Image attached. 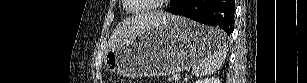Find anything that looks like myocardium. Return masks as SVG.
Returning a JSON list of instances; mask_svg holds the SVG:
<instances>
[{
    "label": "myocardium",
    "mask_w": 307,
    "mask_h": 83,
    "mask_svg": "<svg viewBox=\"0 0 307 83\" xmlns=\"http://www.w3.org/2000/svg\"><path fill=\"white\" fill-rule=\"evenodd\" d=\"M125 2H129V0H124ZM167 2V0H159L158 4H152V5H148L145 8L139 9V10H133L129 5L126 6V9L134 14H142V13H147L150 12L154 9L160 8L161 4Z\"/></svg>",
    "instance_id": "f54148a6"
}]
</instances>
